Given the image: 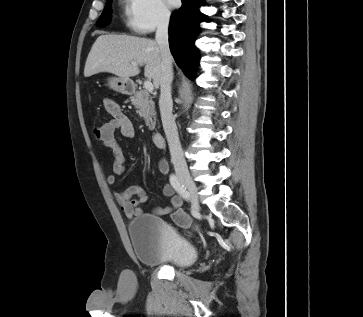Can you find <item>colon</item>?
<instances>
[{
    "label": "colon",
    "mask_w": 363,
    "mask_h": 317,
    "mask_svg": "<svg viewBox=\"0 0 363 317\" xmlns=\"http://www.w3.org/2000/svg\"><path fill=\"white\" fill-rule=\"evenodd\" d=\"M99 129V126H96L94 128V133H96ZM172 219L175 222V224L181 228H190L192 226V222L190 217L182 212V211H174L172 214Z\"/></svg>",
    "instance_id": "1"
}]
</instances>
